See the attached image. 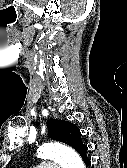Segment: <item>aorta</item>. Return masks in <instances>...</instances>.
Listing matches in <instances>:
<instances>
[{
  "instance_id": "aorta-1",
  "label": "aorta",
  "mask_w": 127,
  "mask_h": 168,
  "mask_svg": "<svg viewBox=\"0 0 127 168\" xmlns=\"http://www.w3.org/2000/svg\"><path fill=\"white\" fill-rule=\"evenodd\" d=\"M39 157L53 160L62 168H85L82 159L72 148L57 142L44 144Z\"/></svg>"
}]
</instances>
